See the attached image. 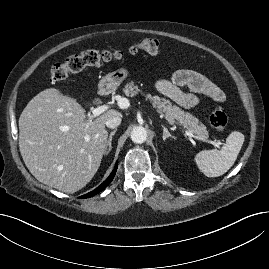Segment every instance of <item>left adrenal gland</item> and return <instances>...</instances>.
<instances>
[{
	"label": "left adrenal gland",
	"mask_w": 269,
	"mask_h": 269,
	"mask_svg": "<svg viewBox=\"0 0 269 269\" xmlns=\"http://www.w3.org/2000/svg\"><path fill=\"white\" fill-rule=\"evenodd\" d=\"M162 128H163V140H164V141H165L167 138H169V137L175 139V137L172 136V135L169 133L168 129H167L164 125H162Z\"/></svg>",
	"instance_id": "a2214340"
}]
</instances>
